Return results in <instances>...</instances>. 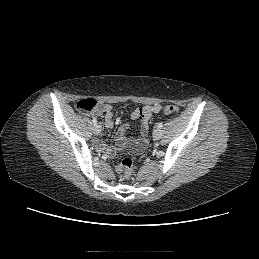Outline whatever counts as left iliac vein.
Returning a JSON list of instances; mask_svg holds the SVG:
<instances>
[{
  "mask_svg": "<svg viewBox=\"0 0 259 259\" xmlns=\"http://www.w3.org/2000/svg\"><path fill=\"white\" fill-rule=\"evenodd\" d=\"M161 135H162V132H161L160 128H156L153 131V138H154V140H159L161 138Z\"/></svg>",
  "mask_w": 259,
  "mask_h": 259,
  "instance_id": "obj_1",
  "label": "left iliac vein"
}]
</instances>
